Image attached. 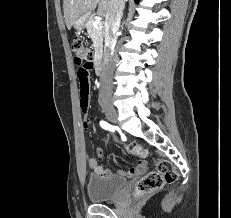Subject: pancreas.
<instances>
[{
    "label": "pancreas",
    "instance_id": "cf45deb5",
    "mask_svg": "<svg viewBox=\"0 0 231 218\" xmlns=\"http://www.w3.org/2000/svg\"><path fill=\"white\" fill-rule=\"evenodd\" d=\"M94 21L95 20L92 17H89L86 20L85 27L87 29L89 36L91 37L94 43L95 51L98 53L102 50L104 31H103L102 25H99L98 27L95 28L93 26Z\"/></svg>",
    "mask_w": 231,
    "mask_h": 218
}]
</instances>
